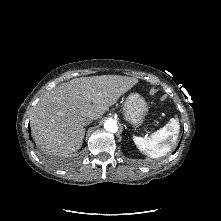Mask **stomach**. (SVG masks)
Returning a JSON list of instances; mask_svg holds the SVG:
<instances>
[{
  "label": "stomach",
  "mask_w": 221,
  "mask_h": 221,
  "mask_svg": "<svg viewBox=\"0 0 221 221\" xmlns=\"http://www.w3.org/2000/svg\"><path fill=\"white\" fill-rule=\"evenodd\" d=\"M147 109L145 99L138 93H131L127 96L123 106L124 119L134 127H138L142 125Z\"/></svg>",
  "instance_id": "stomach-1"
}]
</instances>
